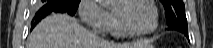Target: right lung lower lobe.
I'll use <instances>...</instances> for the list:
<instances>
[{"mask_svg":"<svg viewBox=\"0 0 213 48\" xmlns=\"http://www.w3.org/2000/svg\"><path fill=\"white\" fill-rule=\"evenodd\" d=\"M52 12H61V13H68L70 15H74L70 13L68 10H66L64 7H62L59 4L56 3H46L38 12H37V17L33 19L32 23L33 25L31 26V29L34 28V26L43 18H45L48 14Z\"/></svg>","mask_w":213,"mask_h":48,"instance_id":"1","label":"right lung lower lobe"}]
</instances>
